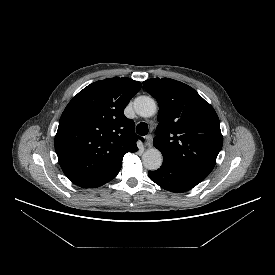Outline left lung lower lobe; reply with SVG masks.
Returning <instances> with one entry per match:
<instances>
[{
	"label": "left lung lower lobe",
	"instance_id": "0a47b994",
	"mask_svg": "<svg viewBox=\"0 0 275 275\" xmlns=\"http://www.w3.org/2000/svg\"><path fill=\"white\" fill-rule=\"evenodd\" d=\"M148 176L160 187L175 193L186 192L204 179L186 169L166 161H163L160 169L149 171Z\"/></svg>",
	"mask_w": 275,
	"mask_h": 275
}]
</instances>
